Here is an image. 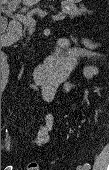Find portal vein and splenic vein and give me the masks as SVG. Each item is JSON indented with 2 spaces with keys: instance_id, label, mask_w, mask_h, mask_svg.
<instances>
[{
  "instance_id": "obj_1",
  "label": "portal vein and splenic vein",
  "mask_w": 109,
  "mask_h": 170,
  "mask_svg": "<svg viewBox=\"0 0 109 170\" xmlns=\"http://www.w3.org/2000/svg\"><path fill=\"white\" fill-rule=\"evenodd\" d=\"M18 2V0L16 1ZM14 8L11 7L9 8L8 10H4L6 12V14L8 13H11L13 12ZM16 17L21 21L23 22L24 24H26L27 26H30V27H34L36 25V21L35 19H33L32 17H28V16H23V15H20V14H17ZM52 18L55 20V21H59V20H62L64 19V17H61V16H58V15H54L52 16Z\"/></svg>"
}]
</instances>
